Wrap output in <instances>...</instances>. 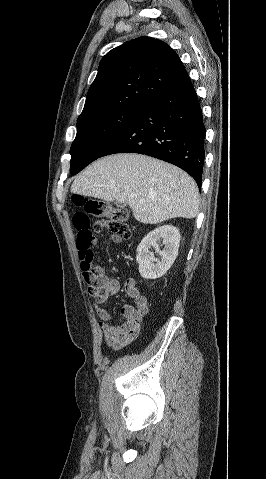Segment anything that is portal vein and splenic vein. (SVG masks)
<instances>
[{
    "label": "portal vein and splenic vein",
    "instance_id": "1",
    "mask_svg": "<svg viewBox=\"0 0 266 479\" xmlns=\"http://www.w3.org/2000/svg\"><path fill=\"white\" fill-rule=\"evenodd\" d=\"M134 196H135L134 194L131 195V197H134Z\"/></svg>",
    "mask_w": 266,
    "mask_h": 479
}]
</instances>
